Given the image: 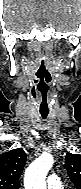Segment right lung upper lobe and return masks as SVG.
Segmentation results:
<instances>
[{
    "label": "right lung upper lobe",
    "instance_id": "cb5924a9",
    "mask_svg": "<svg viewBox=\"0 0 81 189\" xmlns=\"http://www.w3.org/2000/svg\"><path fill=\"white\" fill-rule=\"evenodd\" d=\"M26 163L22 149H13L0 155V189H19V178Z\"/></svg>",
    "mask_w": 81,
    "mask_h": 189
}]
</instances>
